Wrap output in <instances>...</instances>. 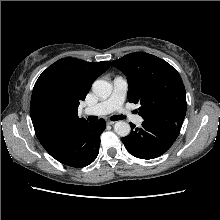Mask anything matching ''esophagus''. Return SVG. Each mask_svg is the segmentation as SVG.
<instances>
[{
    "mask_svg": "<svg viewBox=\"0 0 220 220\" xmlns=\"http://www.w3.org/2000/svg\"><path fill=\"white\" fill-rule=\"evenodd\" d=\"M106 123H107L108 125H113L115 122H114V121H111V120H108Z\"/></svg>",
    "mask_w": 220,
    "mask_h": 220,
    "instance_id": "1",
    "label": "esophagus"
}]
</instances>
